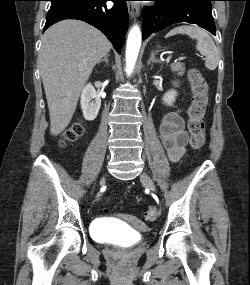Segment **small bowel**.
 <instances>
[{"mask_svg": "<svg viewBox=\"0 0 250 285\" xmlns=\"http://www.w3.org/2000/svg\"><path fill=\"white\" fill-rule=\"evenodd\" d=\"M160 136L172 162H177L183 156L188 142L181 110L167 113L160 124Z\"/></svg>", "mask_w": 250, "mask_h": 285, "instance_id": "1", "label": "small bowel"}]
</instances>
